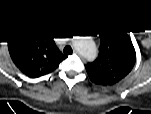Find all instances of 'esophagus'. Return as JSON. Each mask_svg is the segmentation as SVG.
I'll use <instances>...</instances> for the list:
<instances>
[{
    "instance_id": "34e87169",
    "label": "esophagus",
    "mask_w": 151,
    "mask_h": 114,
    "mask_svg": "<svg viewBox=\"0 0 151 114\" xmlns=\"http://www.w3.org/2000/svg\"><path fill=\"white\" fill-rule=\"evenodd\" d=\"M74 53H75V54H78V52H77V51H74Z\"/></svg>"
}]
</instances>
